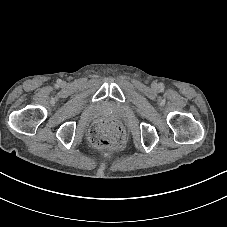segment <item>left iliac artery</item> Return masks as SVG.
<instances>
[{
  "mask_svg": "<svg viewBox=\"0 0 227 227\" xmlns=\"http://www.w3.org/2000/svg\"><path fill=\"white\" fill-rule=\"evenodd\" d=\"M159 88L161 89V90H163L164 89V84L163 83H159Z\"/></svg>",
  "mask_w": 227,
  "mask_h": 227,
  "instance_id": "44dca946",
  "label": "left iliac artery"
}]
</instances>
